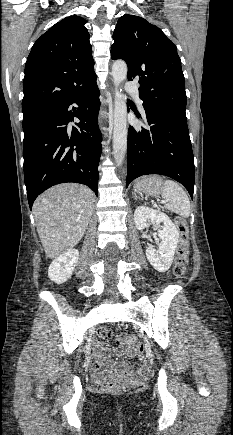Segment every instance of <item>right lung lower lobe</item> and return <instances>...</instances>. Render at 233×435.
Returning a JSON list of instances; mask_svg holds the SVG:
<instances>
[{"label": "right lung lower lobe", "mask_w": 233, "mask_h": 435, "mask_svg": "<svg viewBox=\"0 0 233 435\" xmlns=\"http://www.w3.org/2000/svg\"><path fill=\"white\" fill-rule=\"evenodd\" d=\"M96 75L67 99L23 119L24 178L30 209L39 194L65 182L85 184L98 195L102 136ZM78 108L69 110L71 104ZM74 117L80 120L70 128Z\"/></svg>", "instance_id": "98d812e1"}]
</instances>
